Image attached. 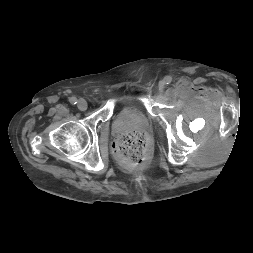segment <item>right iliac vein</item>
Segmentation results:
<instances>
[{"label": "right iliac vein", "mask_w": 253, "mask_h": 253, "mask_svg": "<svg viewBox=\"0 0 253 253\" xmlns=\"http://www.w3.org/2000/svg\"><path fill=\"white\" fill-rule=\"evenodd\" d=\"M78 108L81 110V111H85L88 107L87 105V102L84 100V99H80L78 101V104H77Z\"/></svg>", "instance_id": "63e3f726"}]
</instances>
